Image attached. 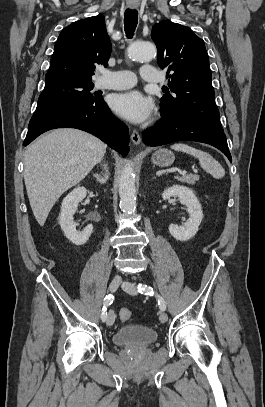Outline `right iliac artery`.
I'll return each mask as SVG.
<instances>
[{
	"instance_id": "obj_1",
	"label": "right iliac artery",
	"mask_w": 265,
	"mask_h": 407,
	"mask_svg": "<svg viewBox=\"0 0 265 407\" xmlns=\"http://www.w3.org/2000/svg\"><path fill=\"white\" fill-rule=\"evenodd\" d=\"M113 299H114V297H113L112 294H109V295H107V296L104 298V301H103V308H102V313H101V320H102L103 322H105L106 319H107V312H106V310H107V307H108L110 304H112Z\"/></svg>"
}]
</instances>
